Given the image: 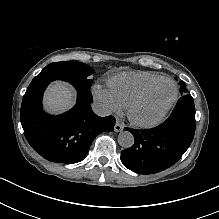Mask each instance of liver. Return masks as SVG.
<instances>
[{
    "label": "liver",
    "mask_w": 219,
    "mask_h": 219,
    "mask_svg": "<svg viewBox=\"0 0 219 219\" xmlns=\"http://www.w3.org/2000/svg\"><path fill=\"white\" fill-rule=\"evenodd\" d=\"M76 104L73 86L63 80H53L41 97V109L47 115L58 116L70 111Z\"/></svg>",
    "instance_id": "1"
}]
</instances>
